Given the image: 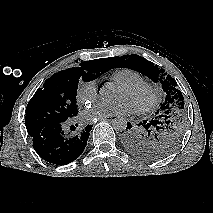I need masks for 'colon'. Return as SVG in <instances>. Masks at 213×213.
<instances>
[{"mask_svg": "<svg viewBox=\"0 0 213 213\" xmlns=\"http://www.w3.org/2000/svg\"><path fill=\"white\" fill-rule=\"evenodd\" d=\"M178 103H179L178 101L175 102V104H178Z\"/></svg>", "mask_w": 213, "mask_h": 213, "instance_id": "obj_1", "label": "colon"}]
</instances>
